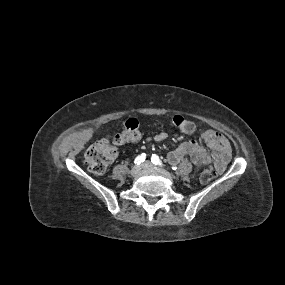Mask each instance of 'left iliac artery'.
I'll use <instances>...</instances> for the list:
<instances>
[{
  "mask_svg": "<svg viewBox=\"0 0 285 285\" xmlns=\"http://www.w3.org/2000/svg\"><path fill=\"white\" fill-rule=\"evenodd\" d=\"M151 162L155 165L163 166L161 160L159 159V157L156 154H152Z\"/></svg>",
  "mask_w": 285,
  "mask_h": 285,
  "instance_id": "obj_1",
  "label": "left iliac artery"
}]
</instances>
